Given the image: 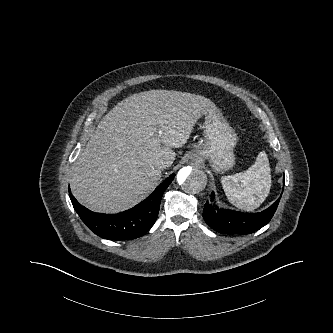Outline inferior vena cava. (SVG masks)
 I'll return each mask as SVG.
<instances>
[{"mask_svg": "<svg viewBox=\"0 0 333 333\" xmlns=\"http://www.w3.org/2000/svg\"><path fill=\"white\" fill-rule=\"evenodd\" d=\"M168 166H169V165H168V162L165 161V160H163V159L157 161V167H158L160 170L166 169V168H168Z\"/></svg>", "mask_w": 333, "mask_h": 333, "instance_id": "1", "label": "inferior vena cava"}]
</instances>
